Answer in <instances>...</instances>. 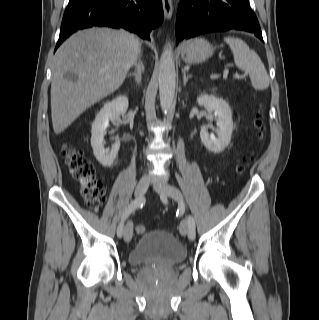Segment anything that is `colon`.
<instances>
[{
	"mask_svg": "<svg viewBox=\"0 0 319 320\" xmlns=\"http://www.w3.org/2000/svg\"><path fill=\"white\" fill-rule=\"evenodd\" d=\"M254 124L258 130V137L262 138L265 123L259 112L255 115ZM62 153L71 176L79 184L82 197L90 207L98 209L105 201V190L96 177L93 164L80 151L68 144L64 145ZM135 231L143 234L146 228L143 225H137Z\"/></svg>",
	"mask_w": 319,
	"mask_h": 320,
	"instance_id": "colon-1",
	"label": "colon"
}]
</instances>
